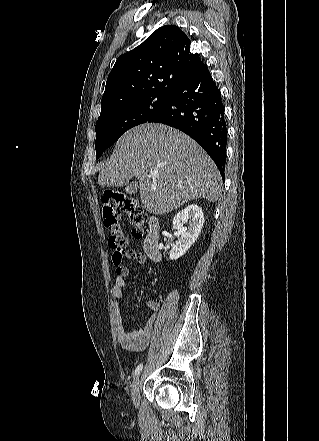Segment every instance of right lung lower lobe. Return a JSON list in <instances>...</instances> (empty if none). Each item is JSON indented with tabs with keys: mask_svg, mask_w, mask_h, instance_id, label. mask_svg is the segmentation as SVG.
I'll list each match as a JSON object with an SVG mask.
<instances>
[{
	"mask_svg": "<svg viewBox=\"0 0 319 441\" xmlns=\"http://www.w3.org/2000/svg\"><path fill=\"white\" fill-rule=\"evenodd\" d=\"M148 122L163 123L197 141L217 165L224 180L227 126L220 91L205 66L184 80L167 106Z\"/></svg>",
	"mask_w": 319,
	"mask_h": 441,
	"instance_id": "right-lung-lower-lobe-1",
	"label": "right lung lower lobe"
}]
</instances>
